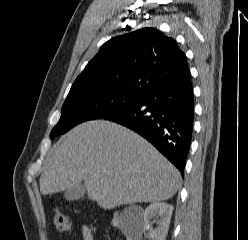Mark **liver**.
I'll use <instances>...</instances> for the list:
<instances>
[{"label": "liver", "mask_w": 248, "mask_h": 240, "mask_svg": "<svg viewBox=\"0 0 248 240\" xmlns=\"http://www.w3.org/2000/svg\"><path fill=\"white\" fill-rule=\"evenodd\" d=\"M180 172L137 133L104 120L82 123L62 136L48 155L40 192L80 185L104 209L160 202L178 190Z\"/></svg>", "instance_id": "6515ba94"}]
</instances>
